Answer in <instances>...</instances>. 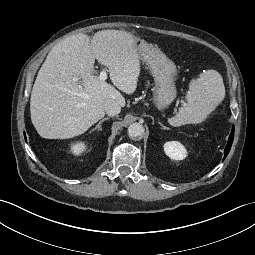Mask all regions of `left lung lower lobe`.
I'll return each instance as SVG.
<instances>
[{"label": "left lung lower lobe", "mask_w": 255, "mask_h": 255, "mask_svg": "<svg viewBox=\"0 0 255 255\" xmlns=\"http://www.w3.org/2000/svg\"><path fill=\"white\" fill-rule=\"evenodd\" d=\"M233 138H234V126H233V128H232L231 134H230V136H229L228 144H227V146H226V148H225V151H224L225 157L227 156V154H228L229 151H230V148H231L232 142H233Z\"/></svg>", "instance_id": "1"}]
</instances>
